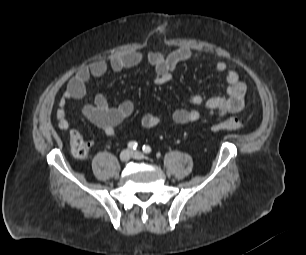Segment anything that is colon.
Instances as JSON below:
<instances>
[{
    "instance_id": "1",
    "label": "colon",
    "mask_w": 306,
    "mask_h": 255,
    "mask_svg": "<svg viewBox=\"0 0 306 255\" xmlns=\"http://www.w3.org/2000/svg\"><path fill=\"white\" fill-rule=\"evenodd\" d=\"M242 128V123L235 117H230L215 123V131H236ZM71 153L76 158H85L89 153L90 143L78 131H71L69 135Z\"/></svg>"
}]
</instances>
